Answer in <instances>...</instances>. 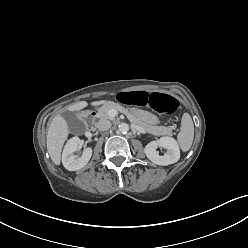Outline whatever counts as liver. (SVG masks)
Wrapping results in <instances>:
<instances>
[{
    "label": "liver",
    "mask_w": 248,
    "mask_h": 248,
    "mask_svg": "<svg viewBox=\"0 0 248 248\" xmlns=\"http://www.w3.org/2000/svg\"><path fill=\"white\" fill-rule=\"evenodd\" d=\"M106 101H94L92 106H98ZM88 106L86 101H80L68 107L70 111H79ZM69 126L64 117L56 115L48 128L47 132V150L54 164L59 165L61 162V151L65 141L68 138Z\"/></svg>",
    "instance_id": "1"
}]
</instances>
